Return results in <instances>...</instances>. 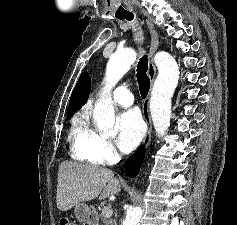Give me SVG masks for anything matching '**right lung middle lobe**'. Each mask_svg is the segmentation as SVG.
<instances>
[{
    "label": "right lung middle lobe",
    "mask_w": 237,
    "mask_h": 225,
    "mask_svg": "<svg viewBox=\"0 0 237 225\" xmlns=\"http://www.w3.org/2000/svg\"><path fill=\"white\" fill-rule=\"evenodd\" d=\"M72 115H68L67 117L69 118V117H71Z\"/></svg>",
    "instance_id": "dd1d6c3e"
}]
</instances>
